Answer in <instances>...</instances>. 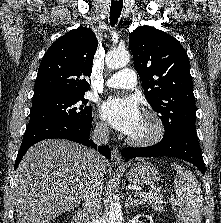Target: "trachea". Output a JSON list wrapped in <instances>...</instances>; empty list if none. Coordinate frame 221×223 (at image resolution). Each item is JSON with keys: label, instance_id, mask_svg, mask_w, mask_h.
<instances>
[{"label": "trachea", "instance_id": "obj_1", "mask_svg": "<svg viewBox=\"0 0 221 223\" xmlns=\"http://www.w3.org/2000/svg\"><path fill=\"white\" fill-rule=\"evenodd\" d=\"M122 7H123V1L122 0H119V1L113 0L111 2L110 23H111L112 26H114L117 23L118 18L121 15Z\"/></svg>", "mask_w": 221, "mask_h": 223}]
</instances>
